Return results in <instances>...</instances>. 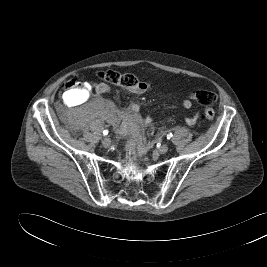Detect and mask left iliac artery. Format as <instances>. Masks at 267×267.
Masks as SVG:
<instances>
[{
	"label": "left iliac artery",
	"instance_id": "44dca946",
	"mask_svg": "<svg viewBox=\"0 0 267 267\" xmlns=\"http://www.w3.org/2000/svg\"><path fill=\"white\" fill-rule=\"evenodd\" d=\"M172 136V133L167 134V139H170Z\"/></svg>",
	"mask_w": 267,
	"mask_h": 267
}]
</instances>
